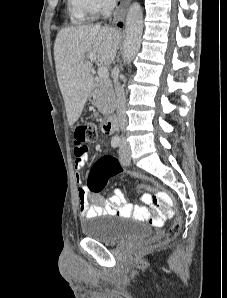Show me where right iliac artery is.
<instances>
[{
    "instance_id": "82829eb1",
    "label": "right iliac artery",
    "mask_w": 227,
    "mask_h": 298,
    "mask_svg": "<svg viewBox=\"0 0 227 298\" xmlns=\"http://www.w3.org/2000/svg\"><path fill=\"white\" fill-rule=\"evenodd\" d=\"M120 144V138L119 137H113L112 140H111V146L113 148H116L118 147Z\"/></svg>"
}]
</instances>
